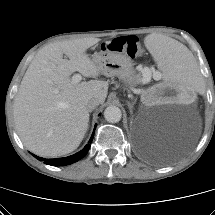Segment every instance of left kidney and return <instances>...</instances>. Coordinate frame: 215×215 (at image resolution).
I'll use <instances>...</instances> for the list:
<instances>
[{
  "instance_id": "5707ae66",
  "label": "left kidney",
  "mask_w": 215,
  "mask_h": 215,
  "mask_svg": "<svg viewBox=\"0 0 215 215\" xmlns=\"http://www.w3.org/2000/svg\"><path fill=\"white\" fill-rule=\"evenodd\" d=\"M196 95L190 94L184 84L173 82H165L160 85L151 86L145 89L142 93V98L147 103L155 102L162 103H176V102H191Z\"/></svg>"
}]
</instances>
